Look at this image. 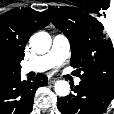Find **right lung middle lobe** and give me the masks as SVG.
Masks as SVG:
<instances>
[{
	"label": "right lung middle lobe",
	"instance_id": "right-lung-middle-lobe-1",
	"mask_svg": "<svg viewBox=\"0 0 114 114\" xmlns=\"http://www.w3.org/2000/svg\"><path fill=\"white\" fill-rule=\"evenodd\" d=\"M12 75H14L13 72H9V71H6V70H0V83L4 80L8 79Z\"/></svg>",
	"mask_w": 114,
	"mask_h": 114
}]
</instances>
